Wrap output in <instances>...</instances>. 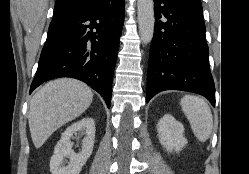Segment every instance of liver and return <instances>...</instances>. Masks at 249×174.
I'll list each match as a JSON object with an SVG mask.
<instances>
[{
  "label": "liver",
  "instance_id": "obj_1",
  "mask_svg": "<svg viewBox=\"0 0 249 174\" xmlns=\"http://www.w3.org/2000/svg\"><path fill=\"white\" fill-rule=\"evenodd\" d=\"M92 100L91 89L79 80L61 78L46 83L30 101L28 122L35 148L86 111Z\"/></svg>",
  "mask_w": 249,
  "mask_h": 174
}]
</instances>
